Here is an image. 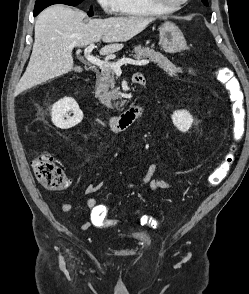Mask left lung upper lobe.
Instances as JSON below:
<instances>
[{
  "mask_svg": "<svg viewBox=\"0 0 249 294\" xmlns=\"http://www.w3.org/2000/svg\"><path fill=\"white\" fill-rule=\"evenodd\" d=\"M203 4L208 6V1L207 0H202Z\"/></svg>",
  "mask_w": 249,
  "mask_h": 294,
  "instance_id": "obj_1",
  "label": "left lung upper lobe"
}]
</instances>
